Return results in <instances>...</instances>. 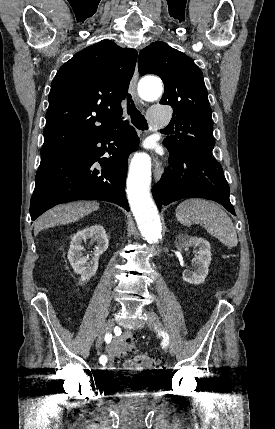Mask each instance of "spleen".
Instances as JSON below:
<instances>
[{"label":"spleen","mask_w":275,"mask_h":429,"mask_svg":"<svg viewBox=\"0 0 275 429\" xmlns=\"http://www.w3.org/2000/svg\"><path fill=\"white\" fill-rule=\"evenodd\" d=\"M176 217L185 226L202 225L209 234L228 247H235L238 243L232 220L212 202L198 198L185 200L177 206Z\"/></svg>","instance_id":"1"}]
</instances>
